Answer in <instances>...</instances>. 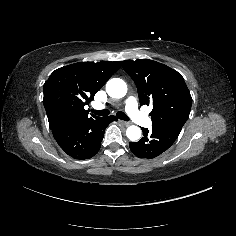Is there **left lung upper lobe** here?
Listing matches in <instances>:
<instances>
[{"mask_svg":"<svg viewBox=\"0 0 236 236\" xmlns=\"http://www.w3.org/2000/svg\"><path fill=\"white\" fill-rule=\"evenodd\" d=\"M121 64L137 86L141 105H153V126L181 130L192 105L181 74L149 59L125 60Z\"/></svg>","mask_w":236,"mask_h":236,"instance_id":"1","label":"left lung upper lobe"}]
</instances>
